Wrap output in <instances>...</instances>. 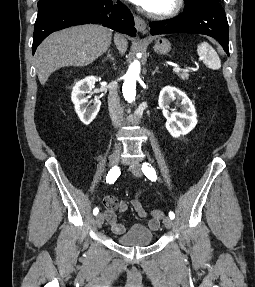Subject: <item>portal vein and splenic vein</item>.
Segmentation results:
<instances>
[{
	"mask_svg": "<svg viewBox=\"0 0 255 287\" xmlns=\"http://www.w3.org/2000/svg\"><path fill=\"white\" fill-rule=\"evenodd\" d=\"M181 68L179 66H174L173 72H180Z\"/></svg>",
	"mask_w": 255,
	"mask_h": 287,
	"instance_id": "1",
	"label": "portal vein and splenic vein"
}]
</instances>
